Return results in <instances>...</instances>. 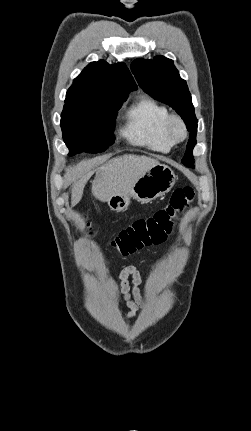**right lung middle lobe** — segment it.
Here are the masks:
<instances>
[{"label":"right lung middle lobe","instance_id":"1","mask_svg":"<svg viewBox=\"0 0 251 431\" xmlns=\"http://www.w3.org/2000/svg\"><path fill=\"white\" fill-rule=\"evenodd\" d=\"M125 100L68 90L60 125L69 155L100 153L112 145L117 111Z\"/></svg>","mask_w":251,"mask_h":431}]
</instances>
